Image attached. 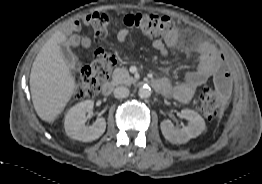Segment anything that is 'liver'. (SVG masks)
<instances>
[{"label":"liver","mask_w":262,"mask_h":184,"mask_svg":"<svg viewBox=\"0 0 262 184\" xmlns=\"http://www.w3.org/2000/svg\"><path fill=\"white\" fill-rule=\"evenodd\" d=\"M67 39L56 31L37 54L30 73V90L37 115L53 122L71 99L76 82L64 61L59 44Z\"/></svg>","instance_id":"obj_1"}]
</instances>
